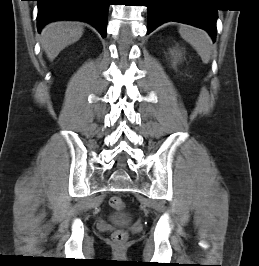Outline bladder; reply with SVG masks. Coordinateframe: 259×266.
<instances>
[{
  "label": "bladder",
  "instance_id": "1",
  "mask_svg": "<svg viewBox=\"0 0 259 266\" xmlns=\"http://www.w3.org/2000/svg\"><path fill=\"white\" fill-rule=\"evenodd\" d=\"M127 219V217L125 215H117L115 217L116 221H125Z\"/></svg>",
  "mask_w": 259,
  "mask_h": 266
}]
</instances>
